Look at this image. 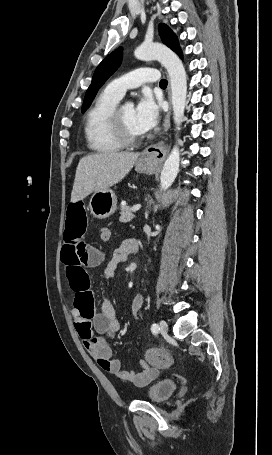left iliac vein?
I'll return each instance as SVG.
<instances>
[{"label":"left iliac vein","mask_w":272,"mask_h":455,"mask_svg":"<svg viewBox=\"0 0 272 455\" xmlns=\"http://www.w3.org/2000/svg\"><path fill=\"white\" fill-rule=\"evenodd\" d=\"M159 325H160L161 334H163V335L167 334L168 333V325H167V323L162 320V321H160Z\"/></svg>","instance_id":"1"}]
</instances>
